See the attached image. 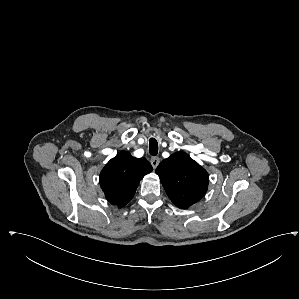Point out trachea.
Here are the masks:
<instances>
[{
	"label": "trachea",
	"mask_w": 299,
	"mask_h": 299,
	"mask_svg": "<svg viewBox=\"0 0 299 299\" xmlns=\"http://www.w3.org/2000/svg\"><path fill=\"white\" fill-rule=\"evenodd\" d=\"M149 152L153 156H156L158 153V143L154 138H151L149 141Z\"/></svg>",
	"instance_id": "obj_1"
}]
</instances>
